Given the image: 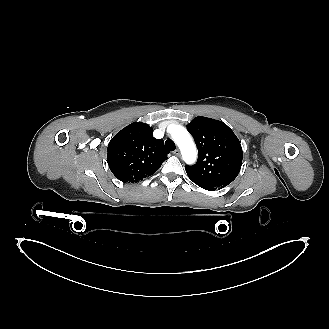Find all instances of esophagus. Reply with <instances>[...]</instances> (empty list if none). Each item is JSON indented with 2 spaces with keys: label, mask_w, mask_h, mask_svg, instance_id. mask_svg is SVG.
Here are the masks:
<instances>
[{
  "label": "esophagus",
  "mask_w": 329,
  "mask_h": 329,
  "mask_svg": "<svg viewBox=\"0 0 329 329\" xmlns=\"http://www.w3.org/2000/svg\"><path fill=\"white\" fill-rule=\"evenodd\" d=\"M173 154L176 155V156H180V151L177 149L173 152Z\"/></svg>",
  "instance_id": "34e87169"
}]
</instances>
